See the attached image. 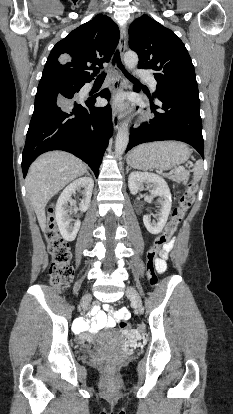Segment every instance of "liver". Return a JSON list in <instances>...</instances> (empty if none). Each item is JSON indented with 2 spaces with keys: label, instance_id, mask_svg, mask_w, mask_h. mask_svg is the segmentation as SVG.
Returning <instances> with one entry per match:
<instances>
[{
  "label": "liver",
  "instance_id": "6515ba94",
  "mask_svg": "<svg viewBox=\"0 0 233 414\" xmlns=\"http://www.w3.org/2000/svg\"><path fill=\"white\" fill-rule=\"evenodd\" d=\"M87 165L64 151H51L38 157L30 166L26 189L42 231L46 228L45 207L68 183L83 176Z\"/></svg>",
  "mask_w": 233,
  "mask_h": 414
}]
</instances>
